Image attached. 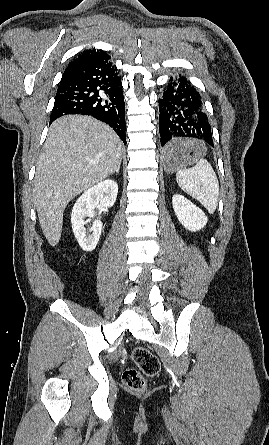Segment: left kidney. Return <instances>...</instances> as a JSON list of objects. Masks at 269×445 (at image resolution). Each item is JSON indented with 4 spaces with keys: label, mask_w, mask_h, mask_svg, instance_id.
I'll list each match as a JSON object with an SVG mask.
<instances>
[{
    "label": "left kidney",
    "mask_w": 269,
    "mask_h": 445,
    "mask_svg": "<svg viewBox=\"0 0 269 445\" xmlns=\"http://www.w3.org/2000/svg\"><path fill=\"white\" fill-rule=\"evenodd\" d=\"M174 212L179 222L189 231L195 232L207 224L204 212L180 194L172 197Z\"/></svg>",
    "instance_id": "left-kidney-1"
}]
</instances>
